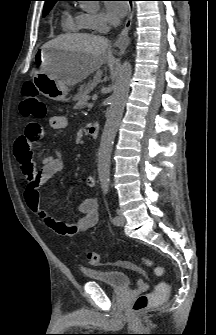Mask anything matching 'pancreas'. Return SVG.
I'll return each mask as SVG.
<instances>
[{
  "label": "pancreas",
  "instance_id": "pancreas-1",
  "mask_svg": "<svg viewBox=\"0 0 216 335\" xmlns=\"http://www.w3.org/2000/svg\"><path fill=\"white\" fill-rule=\"evenodd\" d=\"M90 99V96L88 95V91H84L83 93H81L78 97V102L76 103V105L74 106V109H80L83 108L85 105L88 104V101Z\"/></svg>",
  "mask_w": 216,
  "mask_h": 335
}]
</instances>
